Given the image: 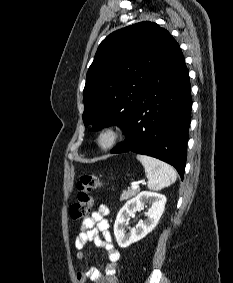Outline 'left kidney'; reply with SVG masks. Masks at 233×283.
<instances>
[{
  "label": "left kidney",
  "instance_id": "left-kidney-1",
  "mask_svg": "<svg viewBox=\"0 0 233 283\" xmlns=\"http://www.w3.org/2000/svg\"><path fill=\"white\" fill-rule=\"evenodd\" d=\"M166 201L164 195L147 191L140 192L135 198L128 201L119 211L114 224V235L118 245L126 248L150 233L158 224ZM147 203L151 204V208L146 213L147 219L140 221L135 228H130V232L126 233L125 228L130 217L136 211H141Z\"/></svg>",
  "mask_w": 233,
  "mask_h": 283
}]
</instances>
